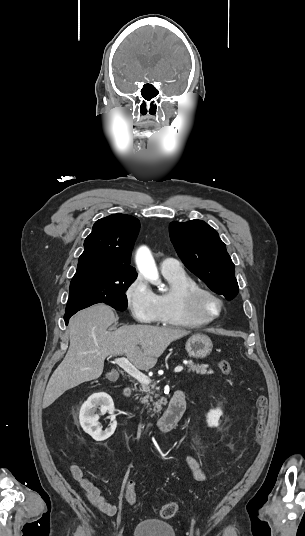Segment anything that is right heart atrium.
I'll return each mask as SVG.
<instances>
[{
    "label": "right heart atrium",
    "instance_id": "obj_1",
    "mask_svg": "<svg viewBox=\"0 0 305 536\" xmlns=\"http://www.w3.org/2000/svg\"><path fill=\"white\" fill-rule=\"evenodd\" d=\"M125 301L131 316L138 322L151 324L157 321L158 300L152 288L137 275L125 290Z\"/></svg>",
    "mask_w": 305,
    "mask_h": 536
}]
</instances>
